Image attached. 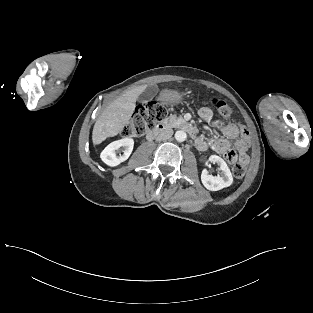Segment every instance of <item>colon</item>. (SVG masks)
I'll return each instance as SVG.
<instances>
[{
	"label": "colon",
	"mask_w": 313,
	"mask_h": 313,
	"mask_svg": "<svg viewBox=\"0 0 313 313\" xmlns=\"http://www.w3.org/2000/svg\"><path fill=\"white\" fill-rule=\"evenodd\" d=\"M210 103L221 117L231 116L232 108L225 100L214 97L210 100ZM166 116L167 109L162 104L155 101L142 103L137 106L130 121L122 128L121 135L128 138L148 134ZM225 158L233 164V175L237 178L243 177L247 170L248 158L237 156L234 152H229Z\"/></svg>",
	"instance_id": "5ec220e1"
}]
</instances>
